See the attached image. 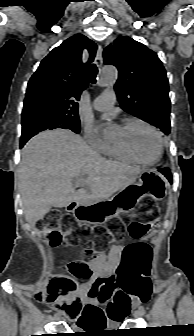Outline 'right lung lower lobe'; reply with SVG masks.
<instances>
[{
  "instance_id": "obj_1",
  "label": "right lung lower lobe",
  "mask_w": 194,
  "mask_h": 336,
  "mask_svg": "<svg viewBox=\"0 0 194 336\" xmlns=\"http://www.w3.org/2000/svg\"><path fill=\"white\" fill-rule=\"evenodd\" d=\"M25 143H26V142H21V146H20V148H22V147L24 146Z\"/></svg>"
}]
</instances>
